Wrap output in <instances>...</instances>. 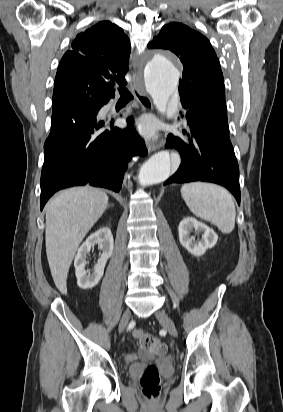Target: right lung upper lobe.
<instances>
[{
  "mask_svg": "<svg viewBox=\"0 0 283 412\" xmlns=\"http://www.w3.org/2000/svg\"><path fill=\"white\" fill-rule=\"evenodd\" d=\"M56 74L52 114L81 101L102 102L115 96L114 85L125 86L131 51L124 32L102 21L78 34Z\"/></svg>",
  "mask_w": 283,
  "mask_h": 412,
  "instance_id": "obj_1",
  "label": "right lung upper lobe"
}]
</instances>
